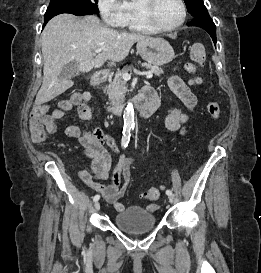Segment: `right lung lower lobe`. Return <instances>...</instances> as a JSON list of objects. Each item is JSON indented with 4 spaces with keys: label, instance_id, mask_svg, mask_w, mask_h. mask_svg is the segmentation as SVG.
Segmentation results:
<instances>
[{
    "label": "right lung lower lobe",
    "instance_id": "1",
    "mask_svg": "<svg viewBox=\"0 0 261 273\" xmlns=\"http://www.w3.org/2000/svg\"><path fill=\"white\" fill-rule=\"evenodd\" d=\"M74 13L77 16L88 15V13L85 11V8L80 3H76L74 5ZM50 19L51 18H44V26Z\"/></svg>",
    "mask_w": 261,
    "mask_h": 273
}]
</instances>
